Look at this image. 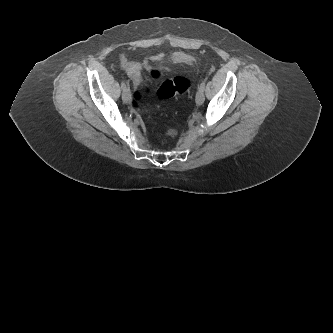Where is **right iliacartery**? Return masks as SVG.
Returning a JSON list of instances; mask_svg holds the SVG:
<instances>
[{
	"label": "right iliac artery",
	"instance_id": "1",
	"mask_svg": "<svg viewBox=\"0 0 333 333\" xmlns=\"http://www.w3.org/2000/svg\"><path fill=\"white\" fill-rule=\"evenodd\" d=\"M121 88L123 91H125L127 89L126 83L124 81L121 83Z\"/></svg>",
	"mask_w": 333,
	"mask_h": 333
}]
</instances>
